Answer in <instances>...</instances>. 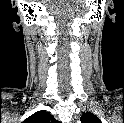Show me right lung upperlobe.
Returning a JSON list of instances; mask_svg holds the SVG:
<instances>
[{
    "label": "right lung upper lobe",
    "instance_id": "1",
    "mask_svg": "<svg viewBox=\"0 0 124 123\" xmlns=\"http://www.w3.org/2000/svg\"><path fill=\"white\" fill-rule=\"evenodd\" d=\"M25 123H57L58 121L46 111H38L28 117Z\"/></svg>",
    "mask_w": 124,
    "mask_h": 123
}]
</instances>
